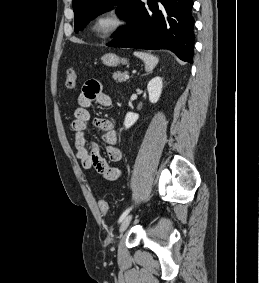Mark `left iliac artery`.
<instances>
[{"instance_id":"left-iliac-artery-1","label":"left iliac artery","mask_w":259,"mask_h":283,"mask_svg":"<svg viewBox=\"0 0 259 283\" xmlns=\"http://www.w3.org/2000/svg\"><path fill=\"white\" fill-rule=\"evenodd\" d=\"M132 210V207L126 209L119 218V223L123 221V219L128 215V213Z\"/></svg>"}]
</instances>
